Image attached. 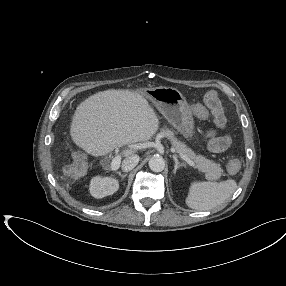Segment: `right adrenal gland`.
Returning a JSON list of instances; mask_svg holds the SVG:
<instances>
[{
  "label": "right adrenal gland",
  "instance_id": "2a0ac1e0",
  "mask_svg": "<svg viewBox=\"0 0 286 286\" xmlns=\"http://www.w3.org/2000/svg\"><path fill=\"white\" fill-rule=\"evenodd\" d=\"M118 175L124 179L125 177H127L128 174H121V172H118Z\"/></svg>",
  "mask_w": 286,
  "mask_h": 286
}]
</instances>
